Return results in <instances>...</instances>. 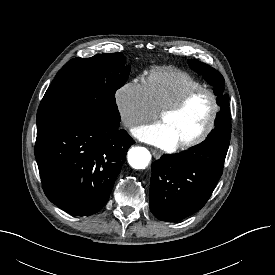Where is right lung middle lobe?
Here are the masks:
<instances>
[{"mask_svg":"<svg viewBox=\"0 0 275 275\" xmlns=\"http://www.w3.org/2000/svg\"><path fill=\"white\" fill-rule=\"evenodd\" d=\"M121 53L70 60L58 71L37 112V134L65 122L93 119L119 125L115 92L131 67Z\"/></svg>","mask_w":275,"mask_h":275,"instance_id":"obj_1","label":"right lung middle lobe"}]
</instances>
